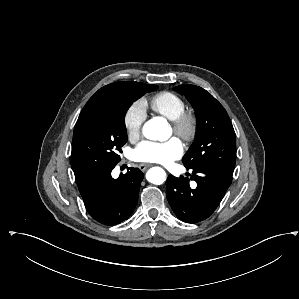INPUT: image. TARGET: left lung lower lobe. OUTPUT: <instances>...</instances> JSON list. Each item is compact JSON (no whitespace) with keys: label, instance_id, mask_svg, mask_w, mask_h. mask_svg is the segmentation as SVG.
Here are the masks:
<instances>
[{"label":"left lung lower lobe","instance_id":"0a47b994","mask_svg":"<svg viewBox=\"0 0 299 299\" xmlns=\"http://www.w3.org/2000/svg\"><path fill=\"white\" fill-rule=\"evenodd\" d=\"M191 180L197 183L195 189L188 184V178L170 175L166 181V195L180 220L198 223L217 208L232 182V174L217 167L203 166L192 168Z\"/></svg>","mask_w":299,"mask_h":299}]
</instances>
